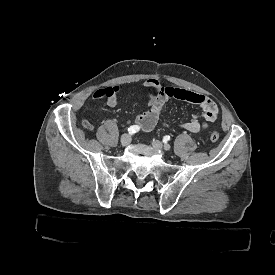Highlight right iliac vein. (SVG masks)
I'll use <instances>...</instances> for the list:
<instances>
[{"label":"right iliac vein","mask_w":275,"mask_h":275,"mask_svg":"<svg viewBox=\"0 0 275 275\" xmlns=\"http://www.w3.org/2000/svg\"><path fill=\"white\" fill-rule=\"evenodd\" d=\"M131 140L132 136L130 134H123L120 141L123 146H127L131 142Z\"/></svg>","instance_id":"obj_1"}]
</instances>
